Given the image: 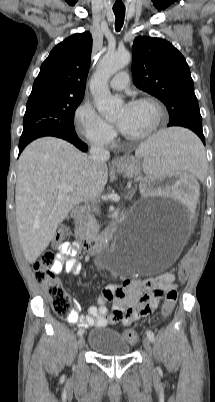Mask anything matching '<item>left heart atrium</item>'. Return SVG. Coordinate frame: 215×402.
<instances>
[{"mask_svg": "<svg viewBox=\"0 0 215 402\" xmlns=\"http://www.w3.org/2000/svg\"><path fill=\"white\" fill-rule=\"evenodd\" d=\"M125 127H126V120H125V118H123V119H121V120L118 121V128H119L121 131H124V130H125Z\"/></svg>", "mask_w": 215, "mask_h": 402, "instance_id": "1", "label": "left heart atrium"}]
</instances>
